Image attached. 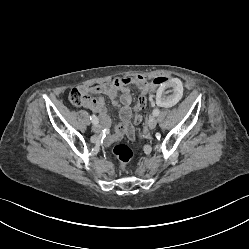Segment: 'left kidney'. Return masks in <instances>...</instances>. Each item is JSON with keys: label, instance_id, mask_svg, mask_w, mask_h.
I'll return each instance as SVG.
<instances>
[{"label": "left kidney", "instance_id": "obj_1", "mask_svg": "<svg viewBox=\"0 0 249 249\" xmlns=\"http://www.w3.org/2000/svg\"><path fill=\"white\" fill-rule=\"evenodd\" d=\"M185 91V80L179 75H172L162 83L161 88L155 91L154 107L157 110H162L177 104Z\"/></svg>", "mask_w": 249, "mask_h": 249}]
</instances>
